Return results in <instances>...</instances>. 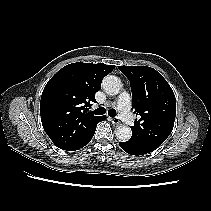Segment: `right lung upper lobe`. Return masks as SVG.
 I'll return each instance as SVG.
<instances>
[{
	"mask_svg": "<svg viewBox=\"0 0 211 211\" xmlns=\"http://www.w3.org/2000/svg\"><path fill=\"white\" fill-rule=\"evenodd\" d=\"M115 66L103 63H72L59 70L46 84L41 101L43 128L63 150L74 148L99 121L87 112L102 79Z\"/></svg>",
	"mask_w": 211,
	"mask_h": 211,
	"instance_id": "1",
	"label": "right lung upper lobe"
}]
</instances>
